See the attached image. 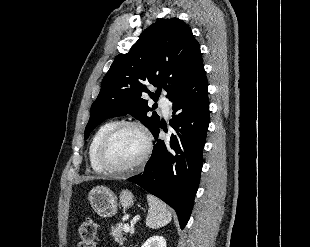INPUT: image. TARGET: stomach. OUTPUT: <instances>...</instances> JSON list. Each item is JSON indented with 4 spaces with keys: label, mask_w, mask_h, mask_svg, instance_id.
Returning a JSON list of instances; mask_svg holds the SVG:
<instances>
[{
    "label": "stomach",
    "mask_w": 310,
    "mask_h": 247,
    "mask_svg": "<svg viewBox=\"0 0 310 247\" xmlns=\"http://www.w3.org/2000/svg\"><path fill=\"white\" fill-rule=\"evenodd\" d=\"M119 197V204L123 208H129L134 203V196L129 190H122ZM88 200L94 211L101 217H112L117 213V197L106 186L93 187L88 194Z\"/></svg>",
    "instance_id": "obj_1"
}]
</instances>
